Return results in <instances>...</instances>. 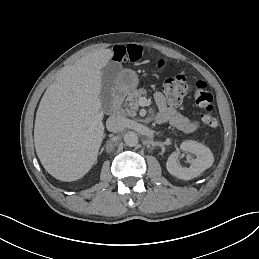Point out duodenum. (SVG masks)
<instances>
[{
  "instance_id": "obj_1",
  "label": "duodenum",
  "mask_w": 259,
  "mask_h": 259,
  "mask_svg": "<svg viewBox=\"0 0 259 259\" xmlns=\"http://www.w3.org/2000/svg\"><path fill=\"white\" fill-rule=\"evenodd\" d=\"M125 95H126V90L123 87H118L114 90L112 102H111V110L113 112H116L119 110Z\"/></svg>"
}]
</instances>
